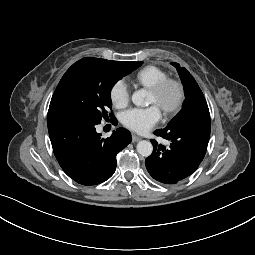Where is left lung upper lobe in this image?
<instances>
[{
    "label": "left lung upper lobe",
    "instance_id": "left-lung-upper-lobe-1",
    "mask_svg": "<svg viewBox=\"0 0 255 255\" xmlns=\"http://www.w3.org/2000/svg\"><path fill=\"white\" fill-rule=\"evenodd\" d=\"M171 64L177 68L182 84L184 86L186 99L182 107L186 106L187 103L193 100L204 98V95L193 76L184 67H180L178 63L171 62Z\"/></svg>",
    "mask_w": 255,
    "mask_h": 255
}]
</instances>
